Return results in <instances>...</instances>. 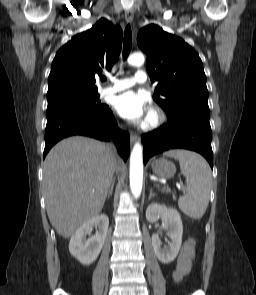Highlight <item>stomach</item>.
I'll list each match as a JSON object with an SVG mask.
<instances>
[{"label":"stomach","instance_id":"obj_1","mask_svg":"<svg viewBox=\"0 0 256 295\" xmlns=\"http://www.w3.org/2000/svg\"><path fill=\"white\" fill-rule=\"evenodd\" d=\"M151 167L154 174L161 178H170L176 173L174 163L164 158L154 160Z\"/></svg>","mask_w":256,"mask_h":295}]
</instances>
